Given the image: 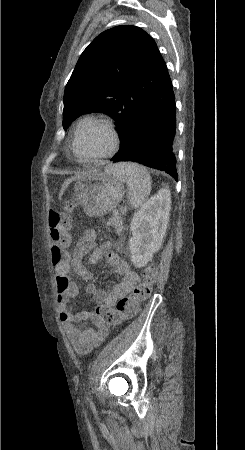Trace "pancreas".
<instances>
[{
    "label": "pancreas",
    "mask_w": 245,
    "mask_h": 450,
    "mask_svg": "<svg viewBox=\"0 0 245 450\" xmlns=\"http://www.w3.org/2000/svg\"><path fill=\"white\" fill-rule=\"evenodd\" d=\"M109 224L114 226L117 234H121L122 233V231H123V220H122V218H121V216L119 214H114L109 219Z\"/></svg>",
    "instance_id": "cf45deb5"
}]
</instances>
